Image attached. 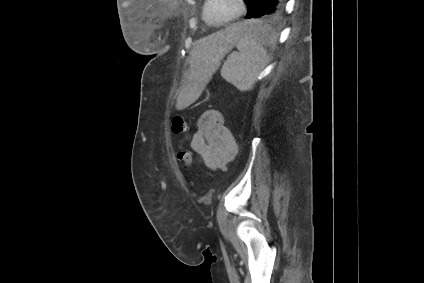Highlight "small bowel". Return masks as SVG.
I'll return each instance as SVG.
<instances>
[{
	"mask_svg": "<svg viewBox=\"0 0 424 283\" xmlns=\"http://www.w3.org/2000/svg\"><path fill=\"white\" fill-rule=\"evenodd\" d=\"M185 142L197 155L199 161L209 169H224L237 153V144L230 129L225 125L221 111H205L197 121L196 131L180 141V149Z\"/></svg>",
	"mask_w": 424,
	"mask_h": 283,
	"instance_id": "c3829d8e",
	"label": "small bowel"
}]
</instances>
